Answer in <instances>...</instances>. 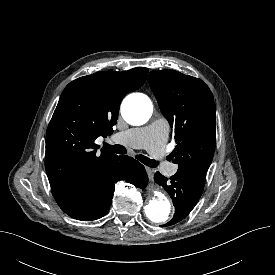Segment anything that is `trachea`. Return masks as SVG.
Listing matches in <instances>:
<instances>
[{
  "label": "trachea",
  "instance_id": "3493384b",
  "mask_svg": "<svg viewBox=\"0 0 275 275\" xmlns=\"http://www.w3.org/2000/svg\"><path fill=\"white\" fill-rule=\"evenodd\" d=\"M103 147L114 152V153H117V154H126L127 153L126 148L122 145H118V144L110 145L108 143H104ZM135 158L148 167L154 168V167H157V165H158V163L155 160L149 159L148 157H146L144 155H136Z\"/></svg>",
  "mask_w": 275,
  "mask_h": 275
}]
</instances>
